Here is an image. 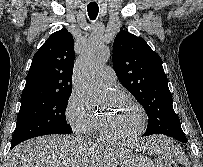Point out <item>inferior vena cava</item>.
<instances>
[{"instance_id": "602c4592", "label": "inferior vena cava", "mask_w": 203, "mask_h": 167, "mask_svg": "<svg viewBox=\"0 0 203 167\" xmlns=\"http://www.w3.org/2000/svg\"><path fill=\"white\" fill-rule=\"evenodd\" d=\"M77 139L84 141L85 139L83 137L77 136Z\"/></svg>"}]
</instances>
